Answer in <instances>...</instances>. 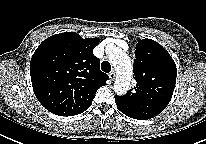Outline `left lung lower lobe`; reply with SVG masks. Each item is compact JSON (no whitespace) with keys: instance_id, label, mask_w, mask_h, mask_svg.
<instances>
[{"instance_id":"obj_1","label":"left lung lower lobe","mask_w":206,"mask_h":144,"mask_svg":"<svg viewBox=\"0 0 206 144\" xmlns=\"http://www.w3.org/2000/svg\"><path fill=\"white\" fill-rule=\"evenodd\" d=\"M115 102L117 105V108L126 116L130 117L131 115L128 113L127 109L125 108V105L121 102L120 98L116 95L115 96ZM146 104H143V107L146 109L145 111V115L142 116H137L134 117L133 119H138V120H146V119H150L155 117L156 115H158L159 113H161L162 111H160L159 113L155 112L156 109H153L152 106H145ZM132 118V117H131Z\"/></svg>"}]
</instances>
